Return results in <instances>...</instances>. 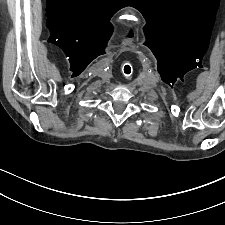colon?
Instances as JSON below:
<instances>
[{
    "label": "colon",
    "mask_w": 225,
    "mask_h": 225,
    "mask_svg": "<svg viewBox=\"0 0 225 225\" xmlns=\"http://www.w3.org/2000/svg\"><path fill=\"white\" fill-rule=\"evenodd\" d=\"M124 68H125V71H126V75H130L131 74V66H130V64L129 63H126L125 65H124Z\"/></svg>",
    "instance_id": "colon-1"
}]
</instances>
